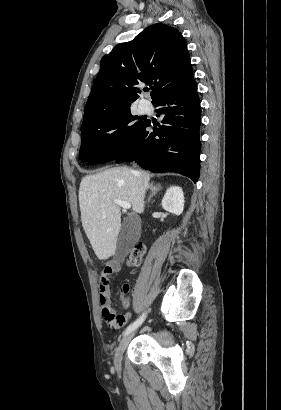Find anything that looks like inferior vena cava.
Wrapping results in <instances>:
<instances>
[{
    "label": "inferior vena cava",
    "mask_w": 281,
    "mask_h": 410,
    "mask_svg": "<svg viewBox=\"0 0 281 410\" xmlns=\"http://www.w3.org/2000/svg\"><path fill=\"white\" fill-rule=\"evenodd\" d=\"M138 182H139V184H140L141 195H142V197L144 198L145 189H144V187L142 186L141 178H138Z\"/></svg>",
    "instance_id": "obj_1"
}]
</instances>
